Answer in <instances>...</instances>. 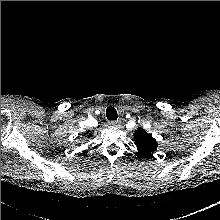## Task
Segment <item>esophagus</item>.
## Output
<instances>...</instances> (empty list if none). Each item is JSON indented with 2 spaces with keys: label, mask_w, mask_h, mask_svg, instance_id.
<instances>
[{
  "label": "esophagus",
  "mask_w": 220,
  "mask_h": 220,
  "mask_svg": "<svg viewBox=\"0 0 220 220\" xmlns=\"http://www.w3.org/2000/svg\"><path fill=\"white\" fill-rule=\"evenodd\" d=\"M120 124H121V122L119 120H112V121L109 122V125L111 127H119Z\"/></svg>",
  "instance_id": "1"
}]
</instances>
